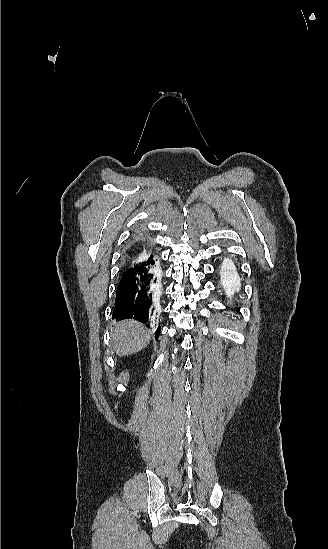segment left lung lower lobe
<instances>
[{"label": "left lung lower lobe", "instance_id": "1", "mask_svg": "<svg viewBox=\"0 0 328 549\" xmlns=\"http://www.w3.org/2000/svg\"><path fill=\"white\" fill-rule=\"evenodd\" d=\"M227 270H228V266L225 265L224 268H223V272L221 273L222 279L220 281V284L225 289V291H228V290L232 289V287L230 285L231 283L229 281H227V279L226 280L224 279Z\"/></svg>", "mask_w": 328, "mask_h": 549}]
</instances>
